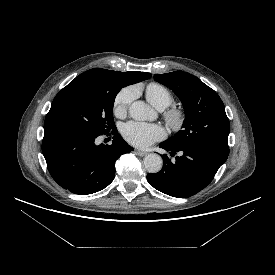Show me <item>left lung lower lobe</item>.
Wrapping results in <instances>:
<instances>
[{
    "instance_id": "obj_1",
    "label": "left lung lower lobe",
    "mask_w": 275,
    "mask_h": 275,
    "mask_svg": "<svg viewBox=\"0 0 275 275\" xmlns=\"http://www.w3.org/2000/svg\"><path fill=\"white\" fill-rule=\"evenodd\" d=\"M159 147L169 151L171 156L180 155L175 160L162 155L163 168L158 173L147 174V180L158 191L177 198L191 197L204 189L228 157L199 147L165 142Z\"/></svg>"
}]
</instances>
